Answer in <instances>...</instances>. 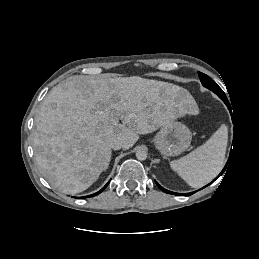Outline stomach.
<instances>
[{
	"label": "stomach",
	"instance_id": "stomach-1",
	"mask_svg": "<svg viewBox=\"0 0 259 259\" xmlns=\"http://www.w3.org/2000/svg\"><path fill=\"white\" fill-rule=\"evenodd\" d=\"M192 133L181 122L170 121L160 127L153 142L163 156H177L184 152L191 143Z\"/></svg>",
	"mask_w": 259,
	"mask_h": 259
}]
</instances>
